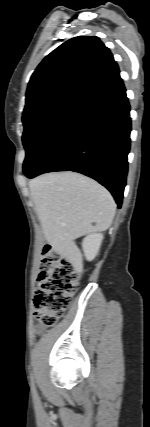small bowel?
Returning <instances> with one entry per match:
<instances>
[{
    "instance_id": "c3829d8e",
    "label": "small bowel",
    "mask_w": 150,
    "mask_h": 427,
    "mask_svg": "<svg viewBox=\"0 0 150 427\" xmlns=\"http://www.w3.org/2000/svg\"><path fill=\"white\" fill-rule=\"evenodd\" d=\"M40 330H41L40 328H38V329H37V331H38V332H39Z\"/></svg>"
}]
</instances>
